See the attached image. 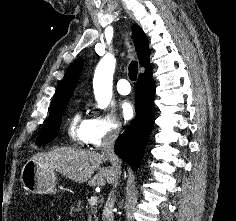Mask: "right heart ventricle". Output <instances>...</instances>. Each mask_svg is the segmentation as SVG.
<instances>
[{"label":"right heart ventricle","instance_id":"obj_1","mask_svg":"<svg viewBox=\"0 0 236 221\" xmlns=\"http://www.w3.org/2000/svg\"><path fill=\"white\" fill-rule=\"evenodd\" d=\"M87 125L88 120L83 118L80 112L75 113L68 127V133L71 139L79 144L86 143Z\"/></svg>","mask_w":236,"mask_h":221}]
</instances>
